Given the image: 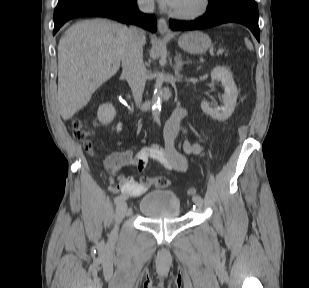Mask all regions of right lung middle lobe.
I'll use <instances>...</instances> for the list:
<instances>
[{
    "label": "right lung middle lobe",
    "mask_w": 309,
    "mask_h": 288,
    "mask_svg": "<svg viewBox=\"0 0 309 288\" xmlns=\"http://www.w3.org/2000/svg\"><path fill=\"white\" fill-rule=\"evenodd\" d=\"M77 1L78 0H59L55 11L63 10Z\"/></svg>",
    "instance_id": "1"
}]
</instances>
